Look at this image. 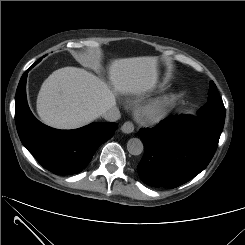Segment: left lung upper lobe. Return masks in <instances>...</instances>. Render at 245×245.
I'll list each match as a JSON object with an SVG mask.
<instances>
[{"instance_id": "5c2ea615", "label": "left lung upper lobe", "mask_w": 245, "mask_h": 245, "mask_svg": "<svg viewBox=\"0 0 245 245\" xmlns=\"http://www.w3.org/2000/svg\"><path fill=\"white\" fill-rule=\"evenodd\" d=\"M198 113L225 120V107L217 91L216 85L212 81L210 83L208 102Z\"/></svg>"}]
</instances>
